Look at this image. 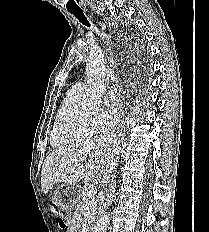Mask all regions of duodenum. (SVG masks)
Returning a JSON list of instances; mask_svg holds the SVG:
<instances>
[{"label": "duodenum", "mask_w": 209, "mask_h": 232, "mask_svg": "<svg viewBox=\"0 0 209 232\" xmlns=\"http://www.w3.org/2000/svg\"><path fill=\"white\" fill-rule=\"evenodd\" d=\"M88 232H96V231H95V226H94V225H91V226L89 227Z\"/></svg>", "instance_id": "duodenum-1"}]
</instances>
